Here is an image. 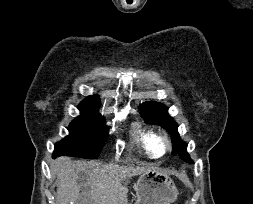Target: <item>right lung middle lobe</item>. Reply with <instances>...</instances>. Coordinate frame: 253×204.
Instances as JSON below:
<instances>
[{
  "label": "right lung middle lobe",
  "mask_w": 253,
  "mask_h": 204,
  "mask_svg": "<svg viewBox=\"0 0 253 204\" xmlns=\"http://www.w3.org/2000/svg\"><path fill=\"white\" fill-rule=\"evenodd\" d=\"M81 115L69 125V135L55 144L54 156L97 158L108 136L105 119L96 108L79 105Z\"/></svg>",
  "instance_id": "right-lung-middle-lobe-1"
}]
</instances>
